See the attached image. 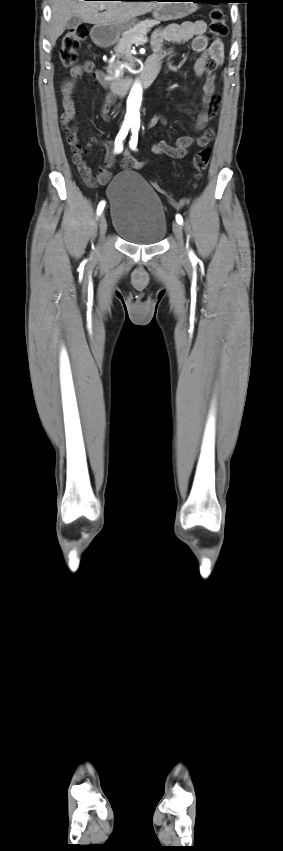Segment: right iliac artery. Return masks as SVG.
<instances>
[{"label":"right iliac artery","mask_w":283,"mask_h":851,"mask_svg":"<svg viewBox=\"0 0 283 851\" xmlns=\"http://www.w3.org/2000/svg\"><path fill=\"white\" fill-rule=\"evenodd\" d=\"M130 127H131L130 124H123L122 125L121 130L119 131V133H118V135L115 139V152L116 153H120L123 150L122 142L125 139V137L127 136ZM104 206H105V202L101 201L99 203L98 207H97V214L98 215H100L102 213Z\"/></svg>","instance_id":"1"}]
</instances>
